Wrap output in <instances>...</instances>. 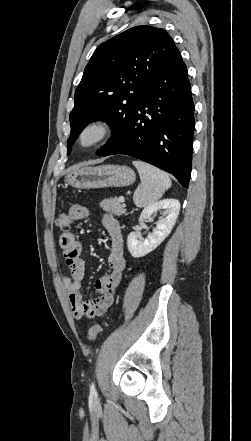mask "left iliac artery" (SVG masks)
<instances>
[{
	"label": "left iliac artery",
	"mask_w": 251,
	"mask_h": 441,
	"mask_svg": "<svg viewBox=\"0 0 251 441\" xmlns=\"http://www.w3.org/2000/svg\"><path fill=\"white\" fill-rule=\"evenodd\" d=\"M90 393H91V394H96V389H95V384H94V382L91 383V386H90Z\"/></svg>",
	"instance_id": "44dca946"
}]
</instances>
